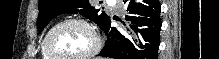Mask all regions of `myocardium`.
Listing matches in <instances>:
<instances>
[{
  "label": "myocardium",
  "instance_id": "f54148a6",
  "mask_svg": "<svg viewBox=\"0 0 219 59\" xmlns=\"http://www.w3.org/2000/svg\"><path fill=\"white\" fill-rule=\"evenodd\" d=\"M73 23L82 25L89 31V33L91 34L93 38V46L91 47L90 50L78 56H61L52 49V46H51L52 35L60 27L67 25V24H73ZM44 48L47 54L53 59H91L94 56H96L98 52L100 51L101 39L97 31L86 20L79 18V17H70V18H66V19H63L57 22L47 31L46 35L44 36Z\"/></svg>",
  "mask_w": 219,
  "mask_h": 59
}]
</instances>
